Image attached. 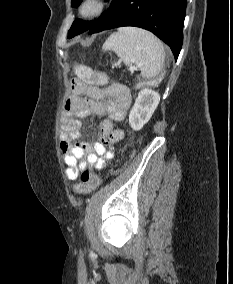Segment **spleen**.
Returning a JSON list of instances; mask_svg holds the SVG:
<instances>
[{
	"label": "spleen",
	"instance_id": "obj_1",
	"mask_svg": "<svg viewBox=\"0 0 233 284\" xmlns=\"http://www.w3.org/2000/svg\"><path fill=\"white\" fill-rule=\"evenodd\" d=\"M126 65H136L143 78H156L163 71L165 53L161 41L149 31L136 27H122L103 44Z\"/></svg>",
	"mask_w": 233,
	"mask_h": 284
}]
</instances>
